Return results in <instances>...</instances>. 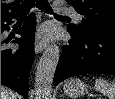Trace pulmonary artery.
Listing matches in <instances>:
<instances>
[{
	"instance_id": "pulmonary-artery-1",
	"label": "pulmonary artery",
	"mask_w": 115,
	"mask_h": 99,
	"mask_svg": "<svg viewBox=\"0 0 115 99\" xmlns=\"http://www.w3.org/2000/svg\"><path fill=\"white\" fill-rule=\"evenodd\" d=\"M58 12L60 13H64V14H71L73 15L76 19L80 20L81 16L79 14H77L75 11H73L71 8L58 3V7H57Z\"/></svg>"
}]
</instances>
